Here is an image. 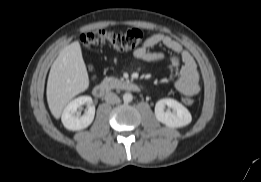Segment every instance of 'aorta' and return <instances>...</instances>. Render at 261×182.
Instances as JSON below:
<instances>
[{
    "instance_id": "aorta-1",
    "label": "aorta",
    "mask_w": 261,
    "mask_h": 182,
    "mask_svg": "<svg viewBox=\"0 0 261 182\" xmlns=\"http://www.w3.org/2000/svg\"><path fill=\"white\" fill-rule=\"evenodd\" d=\"M132 100H133V96H132L131 93H125V94L123 95V101H124L125 103H129V102H131Z\"/></svg>"
}]
</instances>
